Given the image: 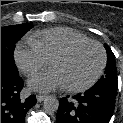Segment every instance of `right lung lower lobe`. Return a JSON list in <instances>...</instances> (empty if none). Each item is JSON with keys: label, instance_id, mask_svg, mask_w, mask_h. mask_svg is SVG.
I'll list each match as a JSON object with an SVG mask.
<instances>
[{"label": "right lung lower lobe", "instance_id": "right-lung-lower-lobe-1", "mask_svg": "<svg viewBox=\"0 0 123 123\" xmlns=\"http://www.w3.org/2000/svg\"><path fill=\"white\" fill-rule=\"evenodd\" d=\"M23 80L19 74L1 68V123H24L27 111L36 104V97L20 99Z\"/></svg>", "mask_w": 123, "mask_h": 123}]
</instances>
